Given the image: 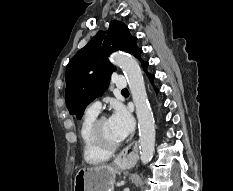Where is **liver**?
<instances>
[{
  "label": "liver",
  "instance_id": "obj_1",
  "mask_svg": "<svg viewBox=\"0 0 233 191\" xmlns=\"http://www.w3.org/2000/svg\"><path fill=\"white\" fill-rule=\"evenodd\" d=\"M107 165H103V166H100V167H106Z\"/></svg>",
  "mask_w": 233,
  "mask_h": 191
}]
</instances>
